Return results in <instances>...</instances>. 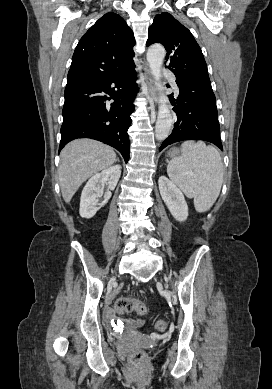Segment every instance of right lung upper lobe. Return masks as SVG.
Wrapping results in <instances>:
<instances>
[{"label": "right lung upper lobe", "instance_id": "cb5924a9", "mask_svg": "<svg viewBox=\"0 0 272 389\" xmlns=\"http://www.w3.org/2000/svg\"><path fill=\"white\" fill-rule=\"evenodd\" d=\"M134 45L133 32L124 19L106 13L80 39L67 82L97 77L133 61Z\"/></svg>", "mask_w": 272, "mask_h": 389}]
</instances>
